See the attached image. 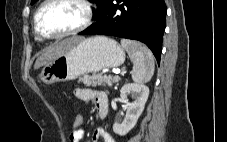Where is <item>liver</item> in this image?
I'll return each mask as SVG.
<instances>
[{"label": "liver", "mask_w": 227, "mask_h": 142, "mask_svg": "<svg viewBox=\"0 0 227 142\" xmlns=\"http://www.w3.org/2000/svg\"><path fill=\"white\" fill-rule=\"evenodd\" d=\"M82 37H71L67 38L55 46L49 48L45 53H43L34 64V69H39L42 66L47 65L50 61L54 60L55 58L61 56L68 50H70L75 44L82 41Z\"/></svg>", "instance_id": "6515ba94"}]
</instances>
